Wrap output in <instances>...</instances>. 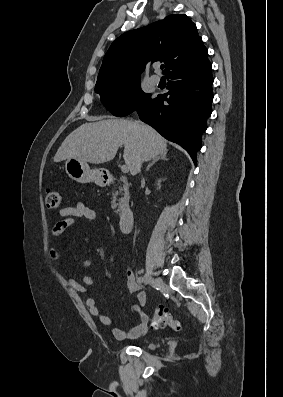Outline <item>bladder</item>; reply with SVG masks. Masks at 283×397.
Wrapping results in <instances>:
<instances>
[{
  "instance_id": "31cf9c89",
  "label": "bladder",
  "mask_w": 283,
  "mask_h": 397,
  "mask_svg": "<svg viewBox=\"0 0 283 397\" xmlns=\"http://www.w3.org/2000/svg\"><path fill=\"white\" fill-rule=\"evenodd\" d=\"M146 348H148V349H154V348H155V345H154L153 343H148V344L146 345Z\"/></svg>"
}]
</instances>
